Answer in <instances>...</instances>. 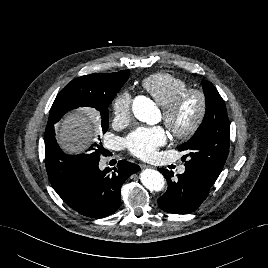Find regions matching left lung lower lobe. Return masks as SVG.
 <instances>
[{
  "instance_id": "0a47b994",
  "label": "left lung lower lobe",
  "mask_w": 268,
  "mask_h": 268,
  "mask_svg": "<svg viewBox=\"0 0 268 268\" xmlns=\"http://www.w3.org/2000/svg\"><path fill=\"white\" fill-rule=\"evenodd\" d=\"M166 178L167 191L158 199L163 211L173 214H187L196 210L207 197L215 180L203 170L186 167L183 174H174L167 169H158Z\"/></svg>"
}]
</instances>
